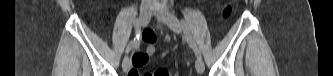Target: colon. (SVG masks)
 Wrapping results in <instances>:
<instances>
[{"label": "colon", "mask_w": 333, "mask_h": 76, "mask_svg": "<svg viewBox=\"0 0 333 76\" xmlns=\"http://www.w3.org/2000/svg\"><path fill=\"white\" fill-rule=\"evenodd\" d=\"M231 10H232L231 7L226 8L224 11V16L225 17L229 16ZM139 75H140V73L137 72L135 69H132L128 73V76H139ZM143 76H171V72L166 68H160V69L155 70L152 73H150V72L144 73Z\"/></svg>", "instance_id": "5ec220e1"}]
</instances>
